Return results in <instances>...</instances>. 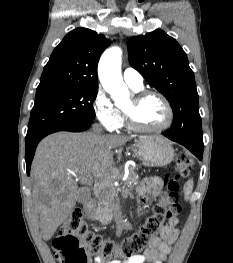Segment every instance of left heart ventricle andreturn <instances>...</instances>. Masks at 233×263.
I'll return each instance as SVG.
<instances>
[{"label":"left heart ventricle","mask_w":233,"mask_h":263,"mask_svg":"<svg viewBox=\"0 0 233 263\" xmlns=\"http://www.w3.org/2000/svg\"><path fill=\"white\" fill-rule=\"evenodd\" d=\"M131 110L135 122L144 127H157L167 119V112L162 101L155 96L144 98L136 107H132V99L125 106Z\"/></svg>","instance_id":"obj_1"}]
</instances>
